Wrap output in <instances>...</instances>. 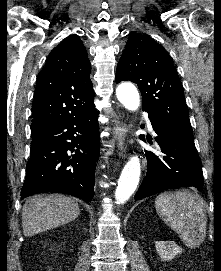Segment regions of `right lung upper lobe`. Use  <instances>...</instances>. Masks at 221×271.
Wrapping results in <instances>:
<instances>
[{
    "instance_id": "right-lung-upper-lobe-1",
    "label": "right lung upper lobe",
    "mask_w": 221,
    "mask_h": 271,
    "mask_svg": "<svg viewBox=\"0 0 221 271\" xmlns=\"http://www.w3.org/2000/svg\"><path fill=\"white\" fill-rule=\"evenodd\" d=\"M90 71L81 39L66 38L51 51L37 76L31 132L94 108Z\"/></svg>"
}]
</instances>
